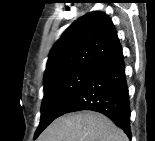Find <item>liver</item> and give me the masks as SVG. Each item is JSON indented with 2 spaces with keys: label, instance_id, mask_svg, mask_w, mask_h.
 <instances>
[{
  "label": "liver",
  "instance_id": "1",
  "mask_svg": "<svg viewBox=\"0 0 155 141\" xmlns=\"http://www.w3.org/2000/svg\"><path fill=\"white\" fill-rule=\"evenodd\" d=\"M40 141H128L110 119L93 111L69 113L54 120Z\"/></svg>",
  "mask_w": 155,
  "mask_h": 141
}]
</instances>
